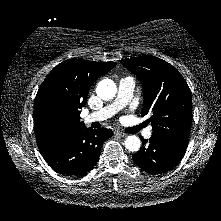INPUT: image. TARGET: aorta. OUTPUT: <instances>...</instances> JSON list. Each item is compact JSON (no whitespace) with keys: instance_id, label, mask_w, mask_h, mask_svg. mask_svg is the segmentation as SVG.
Listing matches in <instances>:
<instances>
[{"instance_id":"1","label":"aorta","mask_w":221,"mask_h":221,"mask_svg":"<svg viewBox=\"0 0 221 221\" xmlns=\"http://www.w3.org/2000/svg\"><path fill=\"white\" fill-rule=\"evenodd\" d=\"M97 95L103 100H111L117 93V86L111 79L101 80L96 87ZM125 148L131 152L138 151L141 147V141L137 136H128L125 139Z\"/></svg>"}]
</instances>
